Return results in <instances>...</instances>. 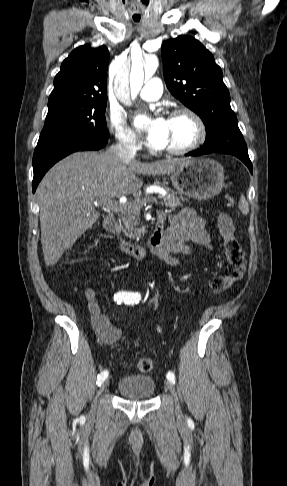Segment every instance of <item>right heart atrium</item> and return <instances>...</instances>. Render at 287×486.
Segmentation results:
<instances>
[{
    "instance_id": "d8ad5b80",
    "label": "right heart atrium",
    "mask_w": 287,
    "mask_h": 486,
    "mask_svg": "<svg viewBox=\"0 0 287 486\" xmlns=\"http://www.w3.org/2000/svg\"><path fill=\"white\" fill-rule=\"evenodd\" d=\"M106 122L108 130L121 147L130 151L139 149V141L121 117L110 114Z\"/></svg>"
}]
</instances>
